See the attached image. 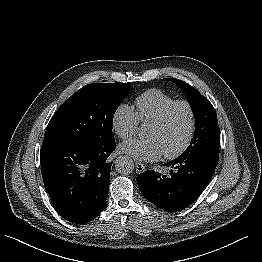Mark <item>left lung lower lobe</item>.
Wrapping results in <instances>:
<instances>
[{"label": "left lung lower lobe", "mask_w": 262, "mask_h": 262, "mask_svg": "<svg viewBox=\"0 0 262 262\" xmlns=\"http://www.w3.org/2000/svg\"><path fill=\"white\" fill-rule=\"evenodd\" d=\"M219 155L197 154L179 156L164 164L168 175L153 170L137 176L143 196L167 212L180 211L194 202L209 184Z\"/></svg>", "instance_id": "0a47b994"}]
</instances>
